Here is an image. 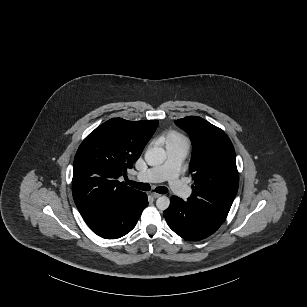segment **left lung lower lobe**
Segmentation results:
<instances>
[{
  "instance_id": "obj_1",
  "label": "left lung lower lobe",
  "mask_w": 307,
  "mask_h": 307,
  "mask_svg": "<svg viewBox=\"0 0 307 307\" xmlns=\"http://www.w3.org/2000/svg\"><path fill=\"white\" fill-rule=\"evenodd\" d=\"M163 215L176 234L191 241L208 237L222 224L203 215L188 202L176 196L170 198V206Z\"/></svg>"
}]
</instances>
